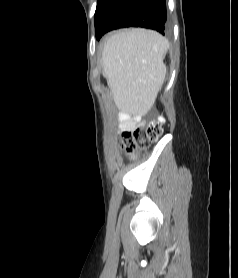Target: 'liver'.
Listing matches in <instances>:
<instances>
[{"label": "liver", "mask_w": 238, "mask_h": 278, "mask_svg": "<svg viewBox=\"0 0 238 278\" xmlns=\"http://www.w3.org/2000/svg\"><path fill=\"white\" fill-rule=\"evenodd\" d=\"M168 48L165 37L142 28L119 31L106 39L103 75L119 110L146 114L153 108L166 76L163 59Z\"/></svg>", "instance_id": "6515ba94"}]
</instances>
